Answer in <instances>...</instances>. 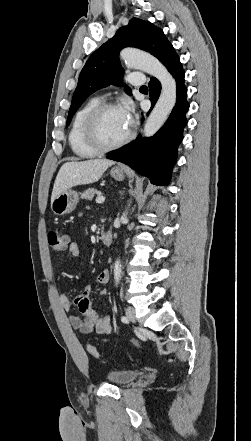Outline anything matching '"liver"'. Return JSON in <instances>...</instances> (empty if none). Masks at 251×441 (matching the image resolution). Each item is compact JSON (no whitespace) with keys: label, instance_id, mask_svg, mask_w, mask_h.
<instances>
[{"label":"liver","instance_id":"liver-1","mask_svg":"<svg viewBox=\"0 0 251 441\" xmlns=\"http://www.w3.org/2000/svg\"><path fill=\"white\" fill-rule=\"evenodd\" d=\"M114 163V161L106 159H90L63 164L55 179L51 201L72 187L97 182L107 168Z\"/></svg>","mask_w":251,"mask_h":441}]
</instances>
